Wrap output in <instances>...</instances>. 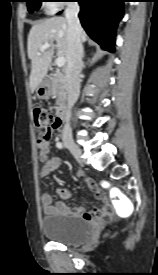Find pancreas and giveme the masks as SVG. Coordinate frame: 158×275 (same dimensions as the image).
Returning <instances> with one entry per match:
<instances>
[{"label":"pancreas","instance_id":"obj_1","mask_svg":"<svg viewBox=\"0 0 158 275\" xmlns=\"http://www.w3.org/2000/svg\"><path fill=\"white\" fill-rule=\"evenodd\" d=\"M51 94L57 98V103H63L67 98L66 79L62 72H55L51 83Z\"/></svg>","mask_w":158,"mask_h":275}]
</instances>
